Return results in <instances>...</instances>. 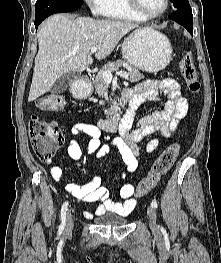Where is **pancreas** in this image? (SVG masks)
<instances>
[{"instance_id": "pancreas-1", "label": "pancreas", "mask_w": 221, "mask_h": 263, "mask_svg": "<svg viewBox=\"0 0 221 263\" xmlns=\"http://www.w3.org/2000/svg\"><path fill=\"white\" fill-rule=\"evenodd\" d=\"M124 69L127 70V72L124 71ZM105 71H120V72H124L128 75L129 77V81L132 83L138 82L142 79H144V75L141 74L138 69L134 68L133 66L129 65L126 62H123L121 60H117L114 62H108L106 65H104L102 67V69L98 72V74L96 75V78L93 81L96 93L99 95V97H104L105 94V90H106V81L103 78V73ZM100 105H105V101L104 100H100L99 101ZM104 113L106 115H113L114 114V110L113 109H106L104 110Z\"/></svg>"}]
</instances>
